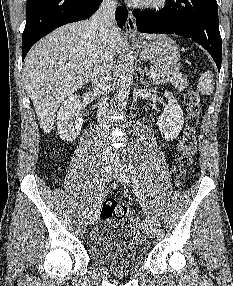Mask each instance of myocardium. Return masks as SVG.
Here are the masks:
<instances>
[{
    "mask_svg": "<svg viewBox=\"0 0 233 286\" xmlns=\"http://www.w3.org/2000/svg\"><path fill=\"white\" fill-rule=\"evenodd\" d=\"M167 1L168 0H143L133 3V5L142 9L154 10L164 7L167 4Z\"/></svg>",
    "mask_w": 233,
    "mask_h": 286,
    "instance_id": "1",
    "label": "myocardium"
}]
</instances>
